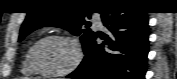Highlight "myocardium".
<instances>
[{
	"label": "myocardium",
	"mask_w": 177,
	"mask_h": 79,
	"mask_svg": "<svg viewBox=\"0 0 177 79\" xmlns=\"http://www.w3.org/2000/svg\"><path fill=\"white\" fill-rule=\"evenodd\" d=\"M52 39H59V40L68 41L73 45V47L75 49L74 61L72 62V64L69 67H67L64 70L55 71V72L49 71V70H46L43 67H41L37 62V59H36L37 49L39 48L40 45H42L46 41H49ZM83 56H84L83 49H82L80 43L78 42V40L75 37H73L71 35H67V34L46 35V36L40 38L37 42H35L31 48V51H30V61H31L33 68L38 73L43 74V75H48V76H63V75H67V74L72 73L81 65V63L83 61Z\"/></svg>",
	"instance_id": "f54148a6"
}]
</instances>
